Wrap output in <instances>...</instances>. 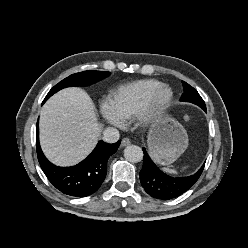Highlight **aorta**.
Returning a JSON list of instances; mask_svg holds the SVG:
<instances>
[{
  "instance_id": "aorta-1",
  "label": "aorta",
  "mask_w": 248,
  "mask_h": 248,
  "mask_svg": "<svg viewBox=\"0 0 248 248\" xmlns=\"http://www.w3.org/2000/svg\"><path fill=\"white\" fill-rule=\"evenodd\" d=\"M124 157L132 163L140 162L143 158V151L137 145H129L124 149Z\"/></svg>"
}]
</instances>
